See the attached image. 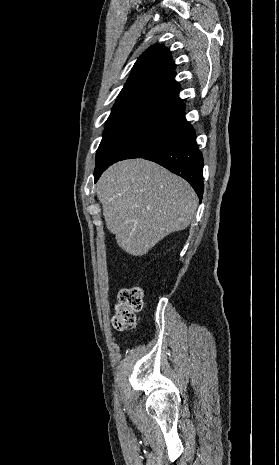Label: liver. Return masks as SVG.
I'll use <instances>...</instances> for the list:
<instances>
[{
  "instance_id": "liver-1",
  "label": "liver",
  "mask_w": 279,
  "mask_h": 465,
  "mask_svg": "<svg viewBox=\"0 0 279 465\" xmlns=\"http://www.w3.org/2000/svg\"><path fill=\"white\" fill-rule=\"evenodd\" d=\"M96 194L107 228L133 256L148 253L167 235L189 226L198 203L187 181L144 159L110 166L98 180Z\"/></svg>"
}]
</instances>
